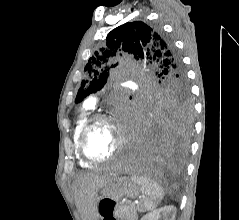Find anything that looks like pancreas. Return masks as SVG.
<instances>
[{
	"label": "pancreas",
	"mask_w": 239,
	"mask_h": 220,
	"mask_svg": "<svg viewBox=\"0 0 239 220\" xmlns=\"http://www.w3.org/2000/svg\"><path fill=\"white\" fill-rule=\"evenodd\" d=\"M114 215L121 220H137V208L134 204H117L114 209Z\"/></svg>",
	"instance_id": "cf45deb5"
}]
</instances>
